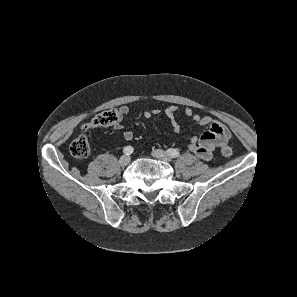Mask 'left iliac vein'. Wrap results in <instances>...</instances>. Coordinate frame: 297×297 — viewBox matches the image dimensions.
<instances>
[{
  "mask_svg": "<svg viewBox=\"0 0 297 297\" xmlns=\"http://www.w3.org/2000/svg\"><path fill=\"white\" fill-rule=\"evenodd\" d=\"M152 156L163 161H171V157L167 154V152L160 149L154 150L152 152Z\"/></svg>",
  "mask_w": 297,
  "mask_h": 297,
  "instance_id": "obj_1",
  "label": "left iliac vein"
}]
</instances>
